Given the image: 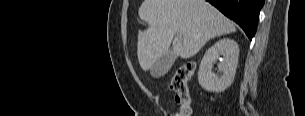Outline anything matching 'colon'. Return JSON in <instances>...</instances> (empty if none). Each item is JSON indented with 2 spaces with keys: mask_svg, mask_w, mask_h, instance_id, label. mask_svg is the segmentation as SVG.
Listing matches in <instances>:
<instances>
[{
  "mask_svg": "<svg viewBox=\"0 0 305 116\" xmlns=\"http://www.w3.org/2000/svg\"><path fill=\"white\" fill-rule=\"evenodd\" d=\"M196 70L194 63H189L179 67L170 81V88L175 93V100L179 104V110L167 116H191V98L187 87V82Z\"/></svg>",
  "mask_w": 305,
  "mask_h": 116,
  "instance_id": "5ec220e1",
  "label": "colon"
}]
</instances>
